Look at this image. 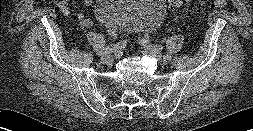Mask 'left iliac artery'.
I'll return each mask as SVG.
<instances>
[{"instance_id": "1", "label": "left iliac artery", "mask_w": 253, "mask_h": 131, "mask_svg": "<svg viewBox=\"0 0 253 131\" xmlns=\"http://www.w3.org/2000/svg\"><path fill=\"white\" fill-rule=\"evenodd\" d=\"M144 41L147 42V43L150 42L149 38L144 39ZM154 47H155L157 50L162 49V47H161L160 45H155Z\"/></svg>"}]
</instances>
